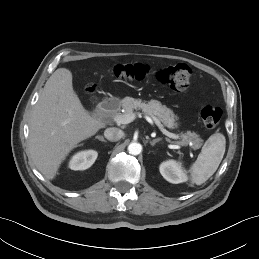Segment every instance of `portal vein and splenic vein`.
Returning <instances> with one entry per match:
<instances>
[{
	"label": "portal vein and splenic vein",
	"mask_w": 259,
	"mask_h": 259,
	"mask_svg": "<svg viewBox=\"0 0 259 259\" xmlns=\"http://www.w3.org/2000/svg\"><path fill=\"white\" fill-rule=\"evenodd\" d=\"M135 118H136V116H135L134 113L117 114V115H114V117H113L114 121L118 124L131 123L133 120H135ZM146 118H147L148 121H152V119L149 116H147ZM153 120L164 135H166V136H168L169 138H172V139H179L178 135L167 131L157 118L153 117Z\"/></svg>",
	"instance_id": "1"
}]
</instances>
